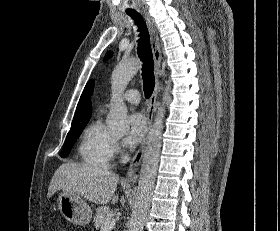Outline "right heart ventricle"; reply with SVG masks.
Masks as SVG:
<instances>
[{"instance_id": "1", "label": "right heart ventricle", "mask_w": 280, "mask_h": 231, "mask_svg": "<svg viewBox=\"0 0 280 231\" xmlns=\"http://www.w3.org/2000/svg\"><path fill=\"white\" fill-rule=\"evenodd\" d=\"M112 135L95 119L84 129L78 143L77 153L81 163L89 168L105 169L112 159Z\"/></svg>"}]
</instances>
